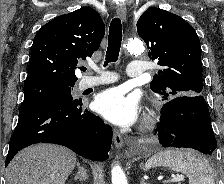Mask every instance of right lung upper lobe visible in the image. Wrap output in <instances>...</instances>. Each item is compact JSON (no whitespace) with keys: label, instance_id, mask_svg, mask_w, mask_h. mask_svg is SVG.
Masks as SVG:
<instances>
[{"label":"right lung upper lobe","instance_id":"1","mask_svg":"<svg viewBox=\"0 0 224 184\" xmlns=\"http://www.w3.org/2000/svg\"><path fill=\"white\" fill-rule=\"evenodd\" d=\"M104 34L101 16L89 7L54 18L34 37L25 85L74 84L78 61L92 56Z\"/></svg>","mask_w":224,"mask_h":184}]
</instances>
